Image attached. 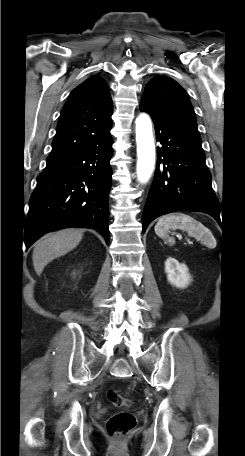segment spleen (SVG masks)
Here are the masks:
<instances>
[{
	"label": "spleen",
	"instance_id": "obj_1",
	"mask_svg": "<svg viewBox=\"0 0 245 456\" xmlns=\"http://www.w3.org/2000/svg\"><path fill=\"white\" fill-rule=\"evenodd\" d=\"M170 229H180L186 231L191 237L199 239L203 244L214 247L216 241L211 231L206 228L202 223L196 221L193 217L184 213H172L162 216L155 225V233L162 239L168 241L173 245L175 240L169 237L168 232Z\"/></svg>",
	"mask_w": 245,
	"mask_h": 456
}]
</instances>
